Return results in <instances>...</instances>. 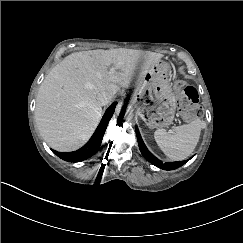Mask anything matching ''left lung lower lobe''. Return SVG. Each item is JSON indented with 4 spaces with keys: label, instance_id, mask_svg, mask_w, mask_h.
Here are the masks:
<instances>
[{
    "label": "left lung lower lobe",
    "instance_id": "0a47b994",
    "mask_svg": "<svg viewBox=\"0 0 243 243\" xmlns=\"http://www.w3.org/2000/svg\"><path fill=\"white\" fill-rule=\"evenodd\" d=\"M135 131H136L139 149H140L142 155L144 156V158L147 161H149L151 164L155 165L156 167L163 169V170H174V169L181 167L188 161V160H185V161H178V162L163 163L162 161L157 159L154 155H152L150 153V151L146 148L145 144L142 141V138L140 136V133H139L137 127H135Z\"/></svg>",
    "mask_w": 243,
    "mask_h": 243
}]
</instances>
